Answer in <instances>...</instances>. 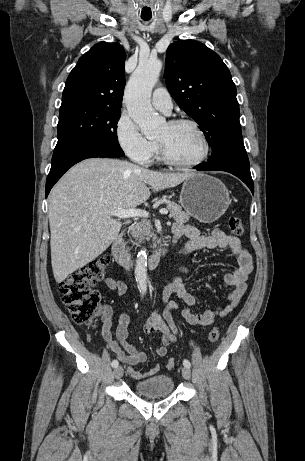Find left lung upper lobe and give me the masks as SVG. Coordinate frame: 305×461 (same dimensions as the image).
Instances as JSON below:
<instances>
[{
    "label": "left lung upper lobe",
    "mask_w": 305,
    "mask_h": 461,
    "mask_svg": "<svg viewBox=\"0 0 305 461\" xmlns=\"http://www.w3.org/2000/svg\"><path fill=\"white\" fill-rule=\"evenodd\" d=\"M167 88L179 107L200 126L217 161L228 138L241 133L236 86L218 54L194 40L172 43L166 52Z\"/></svg>",
    "instance_id": "left-lung-upper-lobe-1"
}]
</instances>
